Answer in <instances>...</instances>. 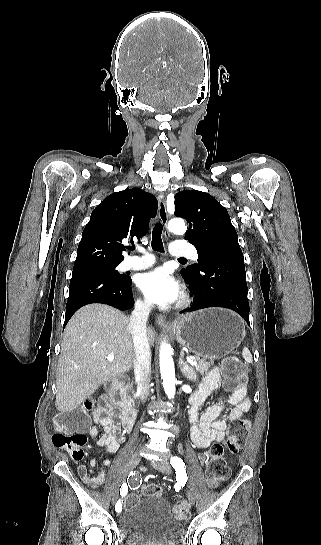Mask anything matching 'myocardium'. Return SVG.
<instances>
[{
	"instance_id": "obj_1",
	"label": "myocardium",
	"mask_w": 321,
	"mask_h": 545,
	"mask_svg": "<svg viewBox=\"0 0 321 545\" xmlns=\"http://www.w3.org/2000/svg\"><path fill=\"white\" fill-rule=\"evenodd\" d=\"M189 305V300L185 297L182 301V307H187Z\"/></svg>"
}]
</instances>
